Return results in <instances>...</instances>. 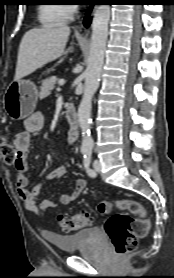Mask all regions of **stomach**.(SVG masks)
Listing matches in <instances>:
<instances>
[{"instance_id":"stomach-1","label":"stomach","mask_w":174,"mask_h":278,"mask_svg":"<svg viewBox=\"0 0 174 278\" xmlns=\"http://www.w3.org/2000/svg\"><path fill=\"white\" fill-rule=\"evenodd\" d=\"M38 101V90L30 80L13 81L7 87L3 103L12 120L25 119L33 113Z\"/></svg>"}]
</instances>
